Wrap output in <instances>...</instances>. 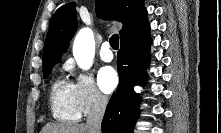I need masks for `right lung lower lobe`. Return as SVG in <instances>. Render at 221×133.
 I'll list each match as a JSON object with an SVG mask.
<instances>
[{
	"mask_svg": "<svg viewBox=\"0 0 221 133\" xmlns=\"http://www.w3.org/2000/svg\"><path fill=\"white\" fill-rule=\"evenodd\" d=\"M150 44L149 30L121 40L117 57L119 85L108 103L103 133H133L139 114V96L133 88L147 79L143 72L149 63Z\"/></svg>",
	"mask_w": 221,
	"mask_h": 133,
	"instance_id": "obj_1",
	"label": "right lung lower lobe"
}]
</instances>
